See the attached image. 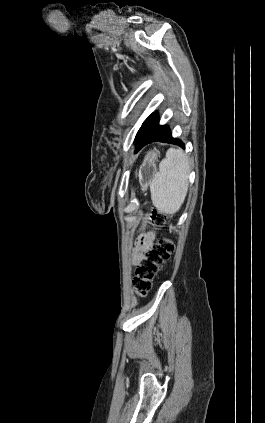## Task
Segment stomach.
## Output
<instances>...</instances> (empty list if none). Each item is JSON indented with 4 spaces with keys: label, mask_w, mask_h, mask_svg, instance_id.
<instances>
[{
    "label": "stomach",
    "mask_w": 265,
    "mask_h": 423,
    "mask_svg": "<svg viewBox=\"0 0 265 423\" xmlns=\"http://www.w3.org/2000/svg\"><path fill=\"white\" fill-rule=\"evenodd\" d=\"M158 157V151L154 150L148 153L146 156L144 163L141 167V174L144 178L148 179L154 173L156 166L155 162Z\"/></svg>",
    "instance_id": "0dacf381"
}]
</instances>
